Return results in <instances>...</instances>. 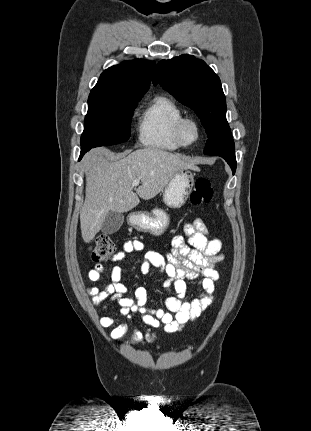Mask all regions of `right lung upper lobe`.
Returning a JSON list of instances; mask_svg holds the SVG:
<instances>
[{"mask_svg": "<svg viewBox=\"0 0 311 431\" xmlns=\"http://www.w3.org/2000/svg\"><path fill=\"white\" fill-rule=\"evenodd\" d=\"M155 63L142 59L105 70L90 94L143 96L150 85Z\"/></svg>", "mask_w": 311, "mask_h": 431, "instance_id": "cb5924a9", "label": "right lung upper lobe"}]
</instances>
